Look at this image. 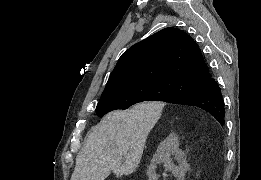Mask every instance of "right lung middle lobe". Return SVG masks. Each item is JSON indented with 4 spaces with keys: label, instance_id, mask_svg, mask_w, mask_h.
<instances>
[{
    "label": "right lung middle lobe",
    "instance_id": "right-lung-middle-lobe-1",
    "mask_svg": "<svg viewBox=\"0 0 261 180\" xmlns=\"http://www.w3.org/2000/svg\"><path fill=\"white\" fill-rule=\"evenodd\" d=\"M199 83L170 79L126 86L102 94L96 113L103 117L116 109H127L133 104L144 101H165L199 88Z\"/></svg>",
    "mask_w": 261,
    "mask_h": 180
}]
</instances>
